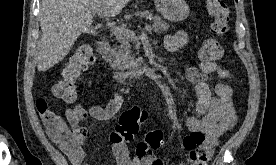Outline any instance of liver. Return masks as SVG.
Instances as JSON below:
<instances>
[{
    "mask_svg": "<svg viewBox=\"0 0 276 165\" xmlns=\"http://www.w3.org/2000/svg\"><path fill=\"white\" fill-rule=\"evenodd\" d=\"M130 0H42L39 13L42 37L36 64L46 71L62 61L78 37L87 32L97 10L117 16Z\"/></svg>",
    "mask_w": 276,
    "mask_h": 165,
    "instance_id": "6515ba94",
    "label": "liver"
}]
</instances>
